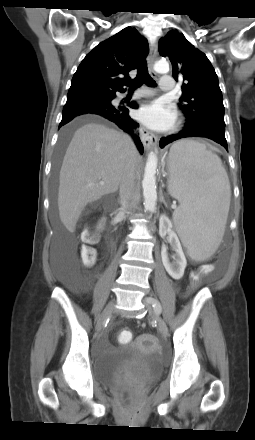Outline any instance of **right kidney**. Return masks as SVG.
<instances>
[{
    "mask_svg": "<svg viewBox=\"0 0 255 440\" xmlns=\"http://www.w3.org/2000/svg\"><path fill=\"white\" fill-rule=\"evenodd\" d=\"M104 220L105 219L101 220V223L99 224V229H103L104 228Z\"/></svg>",
    "mask_w": 255,
    "mask_h": 440,
    "instance_id": "obj_1",
    "label": "right kidney"
}]
</instances>
